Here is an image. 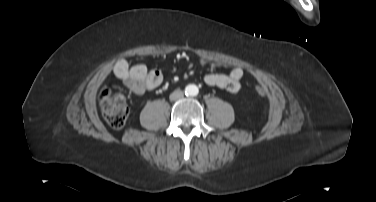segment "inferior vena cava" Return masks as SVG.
Returning <instances> with one entry per match:
<instances>
[{
  "mask_svg": "<svg viewBox=\"0 0 376 202\" xmlns=\"http://www.w3.org/2000/svg\"><path fill=\"white\" fill-rule=\"evenodd\" d=\"M183 96H184L183 91H181L180 89H177L170 94L169 98L170 100L175 101V100L181 99Z\"/></svg>",
  "mask_w": 376,
  "mask_h": 202,
  "instance_id": "602c4592",
  "label": "inferior vena cava"
}]
</instances>
